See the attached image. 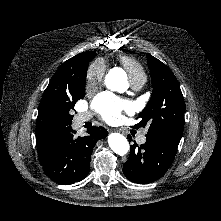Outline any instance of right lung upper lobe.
<instances>
[{"label": "right lung upper lobe", "instance_id": "1", "mask_svg": "<svg viewBox=\"0 0 221 221\" xmlns=\"http://www.w3.org/2000/svg\"><path fill=\"white\" fill-rule=\"evenodd\" d=\"M95 55L94 51H88L65 61L55 72L43 94L36 120V143L41 164L47 159L54 137L60 131L54 126L49 115L43 114V106L51 100L52 92L60 88H70L79 82L86 75L88 64Z\"/></svg>", "mask_w": 221, "mask_h": 221}]
</instances>
